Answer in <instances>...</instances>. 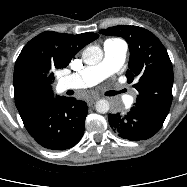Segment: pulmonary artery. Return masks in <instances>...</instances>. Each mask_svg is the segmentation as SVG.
Listing matches in <instances>:
<instances>
[{
	"mask_svg": "<svg viewBox=\"0 0 187 187\" xmlns=\"http://www.w3.org/2000/svg\"><path fill=\"white\" fill-rule=\"evenodd\" d=\"M104 59L101 63L84 68L60 81L62 90L78 89L93 86L112 73L124 63L127 45L122 40H107L103 45Z\"/></svg>",
	"mask_w": 187,
	"mask_h": 187,
	"instance_id": "obj_1",
	"label": "pulmonary artery"
}]
</instances>
